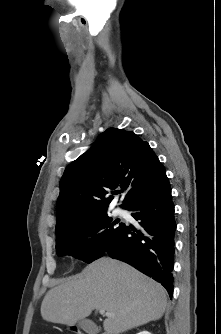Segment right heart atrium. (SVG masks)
I'll return each instance as SVG.
<instances>
[{
	"instance_id": "right-heart-atrium-1",
	"label": "right heart atrium",
	"mask_w": 221,
	"mask_h": 334,
	"mask_svg": "<svg viewBox=\"0 0 221 334\" xmlns=\"http://www.w3.org/2000/svg\"><path fill=\"white\" fill-rule=\"evenodd\" d=\"M85 240L92 251H96L102 242V236L99 231H90L85 235Z\"/></svg>"
}]
</instances>
